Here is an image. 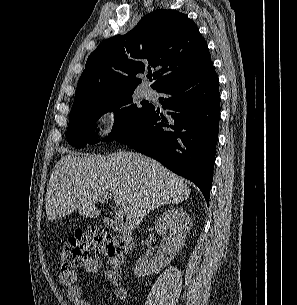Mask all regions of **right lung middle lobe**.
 Here are the masks:
<instances>
[{"instance_id": "1", "label": "right lung middle lobe", "mask_w": 297, "mask_h": 305, "mask_svg": "<svg viewBox=\"0 0 297 305\" xmlns=\"http://www.w3.org/2000/svg\"><path fill=\"white\" fill-rule=\"evenodd\" d=\"M133 92L125 91L73 104L67 128L68 143L76 148L84 147L86 143H96L97 139L93 138L95 123L105 112H114V126L107 142L144 118L152 105L145 101L141 103L142 106L133 104Z\"/></svg>"}]
</instances>
